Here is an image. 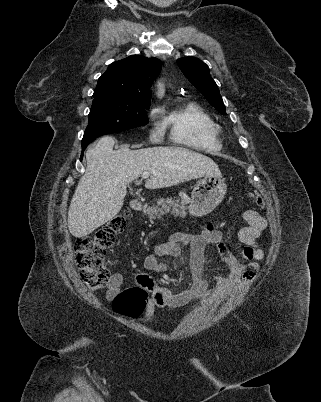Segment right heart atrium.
<instances>
[{
  "instance_id": "obj_1",
  "label": "right heart atrium",
  "mask_w": 321,
  "mask_h": 402,
  "mask_svg": "<svg viewBox=\"0 0 321 402\" xmlns=\"http://www.w3.org/2000/svg\"><path fill=\"white\" fill-rule=\"evenodd\" d=\"M158 115H159V109H158V108H153V109H151L150 112H149V117H150L151 120L156 119V118L158 117ZM151 136H152V138H153L154 140H159V139H160V136H161V133H160L158 130L155 129V130L152 132Z\"/></svg>"
}]
</instances>
